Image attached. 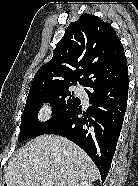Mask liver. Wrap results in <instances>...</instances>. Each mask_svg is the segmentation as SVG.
<instances>
[{
    "mask_svg": "<svg viewBox=\"0 0 138 186\" xmlns=\"http://www.w3.org/2000/svg\"><path fill=\"white\" fill-rule=\"evenodd\" d=\"M99 178L96 165L70 140L43 135L15 153L5 172L7 186H74Z\"/></svg>",
    "mask_w": 138,
    "mask_h": 186,
    "instance_id": "6515ba94",
    "label": "liver"
}]
</instances>
